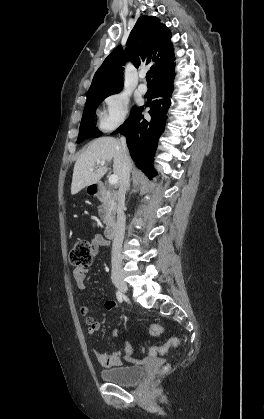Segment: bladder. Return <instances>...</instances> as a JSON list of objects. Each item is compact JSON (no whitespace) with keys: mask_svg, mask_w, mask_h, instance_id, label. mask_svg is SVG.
Masks as SVG:
<instances>
[{"mask_svg":"<svg viewBox=\"0 0 264 419\" xmlns=\"http://www.w3.org/2000/svg\"><path fill=\"white\" fill-rule=\"evenodd\" d=\"M145 374V368L140 364H128L101 371L104 381L122 386L136 384Z\"/></svg>","mask_w":264,"mask_h":419,"instance_id":"bladder-1","label":"bladder"}]
</instances>
